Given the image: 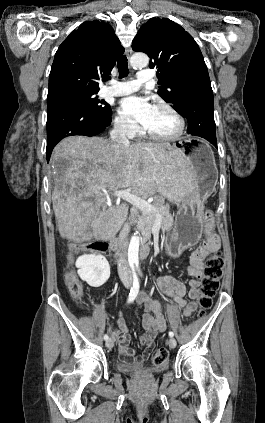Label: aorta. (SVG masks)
Returning a JSON list of instances; mask_svg holds the SVG:
<instances>
[{"instance_id":"1","label":"aorta","mask_w":265,"mask_h":423,"mask_svg":"<svg viewBox=\"0 0 265 423\" xmlns=\"http://www.w3.org/2000/svg\"><path fill=\"white\" fill-rule=\"evenodd\" d=\"M130 64L135 68H143L149 64V57L144 53H135L130 59ZM140 237L135 233L129 243L128 247V261L131 264H138L139 258Z\"/></svg>"}]
</instances>
